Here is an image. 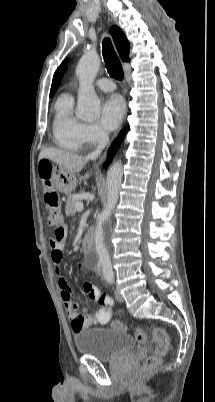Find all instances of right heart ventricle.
<instances>
[{"instance_id":"1","label":"right heart ventricle","mask_w":215,"mask_h":402,"mask_svg":"<svg viewBox=\"0 0 215 402\" xmlns=\"http://www.w3.org/2000/svg\"><path fill=\"white\" fill-rule=\"evenodd\" d=\"M82 122L74 114L73 97L61 94L54 105L52 123L53 140L60 148L75 151L81 147L80 127Z\"/></svg>"}]
</instances>
